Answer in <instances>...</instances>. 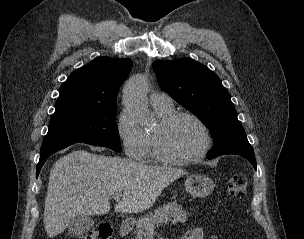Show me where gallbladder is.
<instances>
[{
    "label": "gallbladder",
    "mask_w": 304,
    "mask_h": 239,
    "mask_svg": "<svg viewBox=\"0 0 304 239\" xmlns=\"http://www.w3.org/2000/svg\"><path fill=\"white\" fill-rule=\"evenodd\" d=\"M94 225V220L90 216H77L72 219L68 226V232L74 236H81L87 233Z\"/></svg>",
    "instance_id": "obj_1"
}]
</instances>
